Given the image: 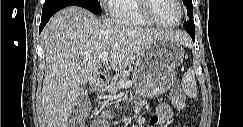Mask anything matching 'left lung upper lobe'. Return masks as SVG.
<instances>
[{"mask_svg": "<svg viewBox=\"0 0 243 127\" xmlns=\"http://www.w3.org/2000/svg\"><path fill=\"white\" fill-rule=\"evenodd\" d=\"M183 2L187 7V10H188L187 14L189 16V21L184 23V27L185 28H189V27L195 28L194 21L192 20V18H193L192 0H183Z\"/></svg>", "mask_w": 243, "mask_h": 127, "instance_id": "left-lung-upper-lobe-1", "label": "left lung upper lobe"}]
</instances>
